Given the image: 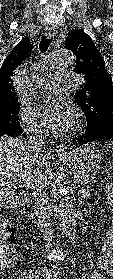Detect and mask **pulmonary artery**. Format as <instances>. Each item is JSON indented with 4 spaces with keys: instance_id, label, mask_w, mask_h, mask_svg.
Returning <instances> with one entry per match:
<instances>
[{
    "instance_id": "obj_1",
    "label": "pulmonary artery",
    "mask_w": 113,
    "mask_h": 279,
    "mask_svg": "<svg viewBox=\"0 0 113 279\" xmlns=\"http://www.w3.org/2000/svg\"><path fill=\"white\" fill-rule=\"evenodd\" d=\"M69 76L65 73L59 75H51L39 81V86L45 90L57 89L61 84L68 83Z\"/></svg>"
}]
</instances>
